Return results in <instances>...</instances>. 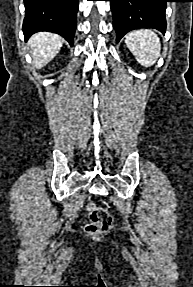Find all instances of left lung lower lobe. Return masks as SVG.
<instances>
[{"instance_id": "obj_1", "label": "left lung lower lobe", "mask_w": 193, "mask_h": 287, "mask_svg": "<svg viewBox=\"0 0 193 287\" xmlns=\"http://www.w3.org/2000/svg\"><path fill=\"white\" fill-rule=\"evenodd\" d=\"M113 14L117 42L129 31L139 28L166 30L165 10L169 0H108Z\"/></svg>"}]
</instances>
